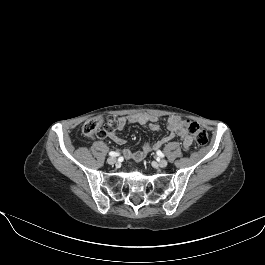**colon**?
Segmentation results:
<instances>
[{
	"label": "colon",
	"mask_w": 265,
	"mask_h": 265,
	"mask_svg": "<svg viewBox=\"0 0 265 265\" xmlns=\"http://www.w3.org/2000/svg\"><path fill=\"white\" fill-rule=\"evenodd\" d=\"M184 126L192 135L194 141L199 146H204L208 142L207 132L196 122L185 120ZM113 127L112 120H105L103 118H94L87 121L82 128V131L87 137H104L107 132Z\"/></svg>",
	"instance_id": "5ec220e1"
}]
</instances>
